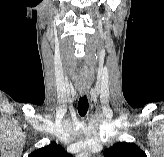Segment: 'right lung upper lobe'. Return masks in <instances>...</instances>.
Here are the masks:
<instances>
[{
	"label": "right lung upper lobe",
	"instance_id": "1",
	"mask_svg": "<svg viewBox=\"0 0 164 157\" xmlns=\"http://www.w3.org/2000/svg\"><path fill=\"white\" fill-rule=\"evenodd\" d=\"M28 157H72V155L67 153L62 146L52 142L50 145L35 150Z\"/></svg>",
	"mask_w": 164,
	"mask_h": 157
}]
</instances>
